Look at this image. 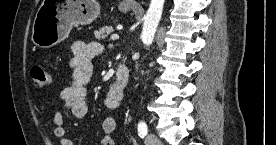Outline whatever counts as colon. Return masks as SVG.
<instances>
[{
	"instance_id": "obj_1",
	"label": "colon",
	"mask_w": 276,
	"mask_h": 145,
	"mask_svg": "<svg viewBox=\"0 0 276 145\" xmlns=\"http://www.w3.org/2000/svg\"><path fill=\"white\" fill-rule=\"evenodd\" d=\"M30 76L36 89H44L50 84V75L42 66H33L30 70Z\"/></svg>"
}]
</instances>
